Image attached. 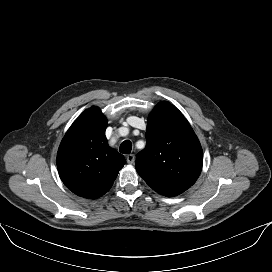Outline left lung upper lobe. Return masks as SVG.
<instances>
[{
	"label": "left lung upper lobe",
	"mask_w": 272,
	"mask_h": 272,
	"mask_svg": "<svg viewBox=\"0 0 272 272\" xmlns=\"http://www.w3.org/2000/svg\"><path fill=\"white\" fill-rule=\"evenodd\" d=\"M202 164L203 151L188 121L172 104L160 102L148 117L138 174L159 194L174 197L196 182Z\"/></svg>",
	"instance_id": "obj_1"
}]
</instances>
